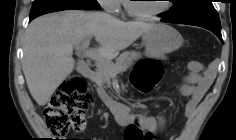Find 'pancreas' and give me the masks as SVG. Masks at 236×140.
Returning a JSON list of instances; mask_svg holds the SVG:
<instances>
[{
    "label": "pancreas",
    "instance_id": "obj_1",
    "mask_svg": "<svg viewBox=\"0 0 236 140\" xmlns=\"http://www.w3.org/2000/svg\"><path fill=\"white\" fill-rule=\"evenodd\" d=\"M141 53L136 51L124 52L117 59L116 63L110 61L97 63V69L92 74L91 78L98 86L107 84L110 87V80L115 76V73L126 71L135 60L141 58Z\"/></svg>",
    "mask_w": 236,
    "mask_h": 140
}]
</instances>
